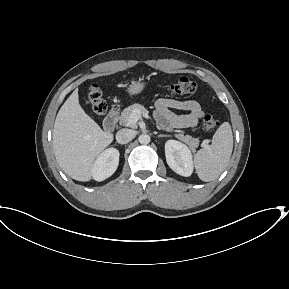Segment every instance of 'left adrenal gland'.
Masks as SVG:
<instances>
[{"instance_id": "a2214340", "label": "left adrenal gland", "mask_w": 289, "mask_h": 289, "mask_svg": "<svg viewBox=\"0 0 289 289\" xmlns=\"http://www.w3.org/2000/svg\"><path fill=\"white\" fill-rule=\"evenodd\" d=\"M158 137H170V135L159 134Z\"/></svg>"}]
</instances>
